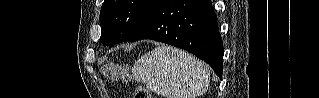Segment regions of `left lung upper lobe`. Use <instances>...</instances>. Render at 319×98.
<instances>
[{
  "mask_svg": "<svg viewBox=\"0 0 319 98\" xmlns=\"http://www.w3.org/2000/svg\"><path fill=\"white\" fill-rule=\"evenodd\" d=\"M157 1L105 0L100 13V41L113 45L128 40L145 22Z\"/></svg>",
  "mask_w": 319,
  "mask_h": 98,
  "instance_id": "left-lung-upper-lobe-1",
  "label": "left lung upper lobe"
}]
</instances>
